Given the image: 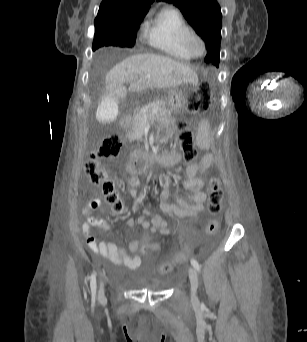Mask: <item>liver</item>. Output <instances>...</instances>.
<instances>
[{
  "instance_id": "1",
  "label": "liver",
  "mask_w": 307,
  "mask_h": 342,
  "mask_svg": "<svg viewBox=\"0 0 307 342\" xmlns=\"http://www.w3.org/2000/svg\"><path fill=\"white\" fill-rule=\"evenodd\" d=\"M106 94L122 95L128 92H145L151 88H177L181 84H197V76L190 66L158 56V54H136L116 64L106 74ZM124 84H129L126 88Z\"/></svg>"
}]
</instances>
